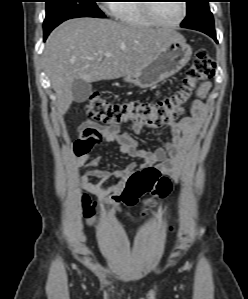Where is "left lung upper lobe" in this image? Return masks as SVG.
<instances>
[{
  "label": "left lung upper lobe",
  "mask_w": 248,
  "mask_h": 299,
  "mask_svg": "<svg viewBox=\"0 0 248 299\" xmlns=\"http://www.w3.org/2000/svg\"><path fill=\"white\" fill-rule=\"evenodd\" d=\"M208 2L209 0H186L187 16L181 23V27L198 31L206 28L215 30Z\"/></svg>",
  "instance_id": "left-lung-upper-lobe-1"
}]
</instances>
